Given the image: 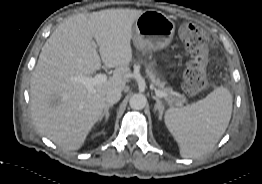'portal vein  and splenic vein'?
Masks as SVG:
<instances>
[{
  "label": "portal vein and splenic vein",
  "mask_w": 262,
  "mask_h": 184,
  "mask_svg": "<svg viewBox=\"0 0 262 184\" xmlns=\"http://www.w3.org/2000/svg\"><path fill=\"white\" fill-rule=\"evenodd\" d=\"M72 81L83 84L87 88V90L91 92L94 86L105 83L107 81V75L104 73H98L95 77L75 76L72 78ZM155 93L160 98L167 96V94L161 90H156Z\"/></svg>",
  "instance_id": "18ae733b"
}]
</instances>
